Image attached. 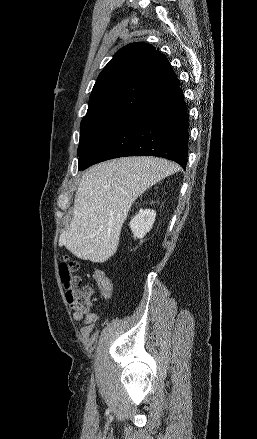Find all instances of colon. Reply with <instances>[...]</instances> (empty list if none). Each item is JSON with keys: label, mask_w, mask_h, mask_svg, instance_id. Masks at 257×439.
I'll return each instance as SVG.
<instances>
[{"label": "colon", "mask_w": 257, "mask_h": 439, "mask_svg": "<svg viewBox=\"0 0 257 439\" xmlns=\"http://www.w3.org/2000/svg\"><path fill=\"white\" fill-rule=\"evenodd\" d=\"M79 264L69 258L62 256L60 259V276L66 288V298L69 304L78 312L82 314L87 312L88 302L87 293L82 278L77 274ZM95 280L99 292L103 295H108L112 290V283L110 279L102 271H97Z\"/></svg>", "instance_id": "obj_1"}]
</instances>
